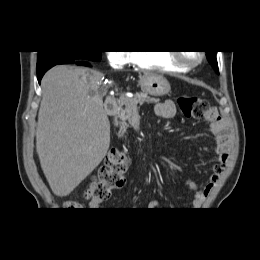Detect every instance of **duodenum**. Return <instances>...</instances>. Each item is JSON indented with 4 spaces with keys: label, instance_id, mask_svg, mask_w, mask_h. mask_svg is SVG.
Segmentation results:
<instances>
[{
    "label": "duodenum",
    "instance_id": "1",
    "mask_svg": "<svg viewBox=\"0 0 260 260\" xmlns=\"http://www.w3.org/2000/svg\"><path fill=\"white\" fill-rule=\"evenodd\" d=\"M105 110L107 112L108 115L110 116H114L117 113V107L116 105L111 102V101H107L105 104Z\"/></svg>",
    "mask_w": 260,
    "mask_h": 260
}]
</instances>
